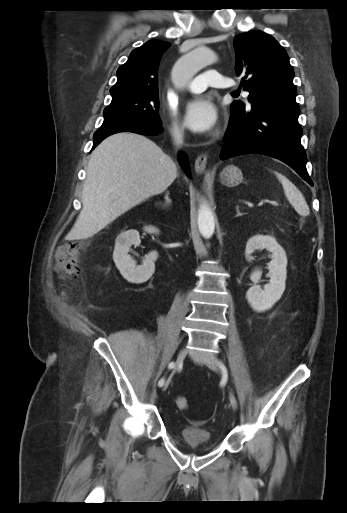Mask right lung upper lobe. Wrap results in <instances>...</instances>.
<instances>
[{"label":"right lung upper lobe","instance_id":"cb5924a9","mask_svg":"<svg viewBox=\"0 0 347 513\" xmlns=\"http://www.w3.org/2000/svg\"><path fill=\"white\" fill-rule=\"evenodd\" d=\"M169 42L150 40L133 50L117 70L118 80L110 89L113 96L129 92H158V67Z\"/></svg>","mask_w":347,"mask_h":513}]
</instances>
